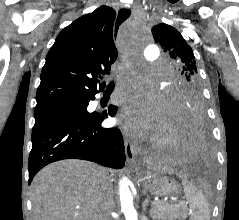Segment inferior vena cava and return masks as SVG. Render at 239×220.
<instances>
[{
  "mask_svg": "<svg viewBox=\"0 0 239 220\" xmlns=\"http://www.w3.org/2000/svg\"><path fill=\"white\" fill-rule=\"evenodd\" d=\"M113 189L110 179L107 177L103 183L101 192V214L98 220H111L110 213L113 207Z\"/></svg>",
  "mask_w": 239,
  "mask_h": 220,
  "instance_id": "1",
  "label": "inferior vena cava"
}]
</instances>
